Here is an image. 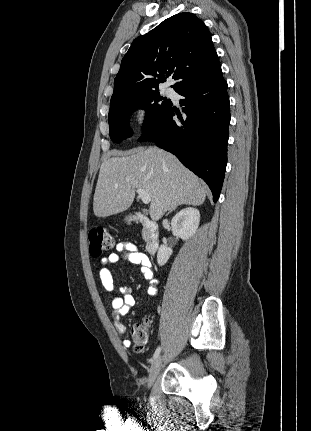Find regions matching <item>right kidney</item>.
Masks as SVG:
<instances>
[{
  "label": "right kidney",
  "instance_id": "ca27d5eb",
  "mask_svg": "<svg viewBox=\"0 0 311 431\" xmlns=\"http://www.w3.org/2000/svg\"><path fill=\"white\" fill-rule=\"evenodd\" d=\"M200 221V212L196 208H184L180 210L176 216L172 217L171 225L173 235L181 237V239H189L197 231ZM172 253V247H167L162 243L157 253V263L165 265Z\"/></svg>",
  "mask_w": 311,
  "mask_h": 431
}]
</instances>
